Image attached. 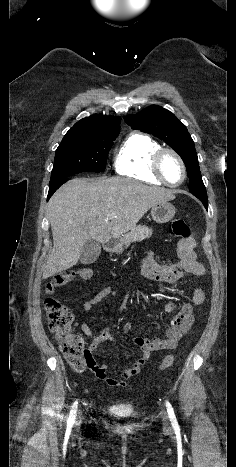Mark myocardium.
<instances>
[{
    "mask_svg": "<svg viewBox=\"0 0 236 467\" xmlns=\"http://www.w3.org/2000/svg\"><path fill=\"white\" fill-rule=\"evenodd\" d=\"M166 154H170L173 157H175L182 168V172H183L182 179L178 183H175V184L169 183L163 175L162 160ZM152 172L155 175V177L159 179L164 185L173 187V188L179 187L180 185H182L185 182L186 177H187V168H186L184 160L175 150L171 148H161L154 154L153 159H152Z\"/></svg>",
    "mask_w": 236,
    "mask_h": 467,
    "instance_id": "obj_1",
    "label": "myocardium"
}]
</instances>
